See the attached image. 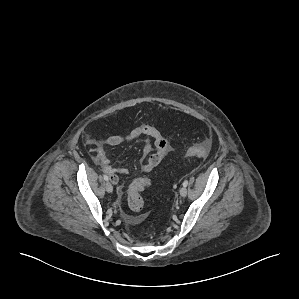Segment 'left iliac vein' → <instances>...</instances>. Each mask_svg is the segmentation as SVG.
Instances as JSON below:
<instances>
[{
	"instance_id": "1",
	"label": "left iliac vein",
	"mask_w": 299,
	"mask_h": 299,
	"mask_svg": "<svg viewBox=\"0 0 299 299\" xmlns=\"http://www.w3.org/2000/svg\"><path fill=\"white\" fill-rule=\"evenodd\" d=\"M180 196L181 197H185L187 195V189L186 187H181V189L179 190Z\"/></svg>"
}]
</instances>
